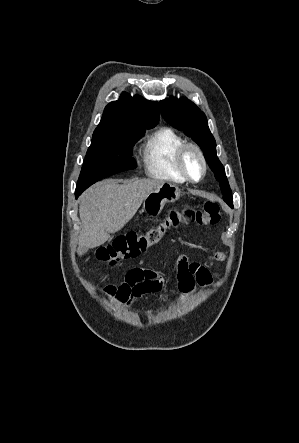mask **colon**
<instances>
[{"mask_svg": "<svg viewBox=\"0 0 299 443\" xmlns=\"http://www.w3.org/2000/svg\"><path fill=\"white\" fill-rule=\"evenodd\" d=\"M220 220L217 203L206 202L201 208L187 207L182 211L172 210L166 218L147 230L130 232L117 237L111 244L99 248L97 258L110 265L117 261L137 257L156 245L173 228L186 226H213Z\"/></svg>", "mask_w": 299, "mask_h": 443, "instance_id": "obj_1", "label": "colon"}]
</instances>
